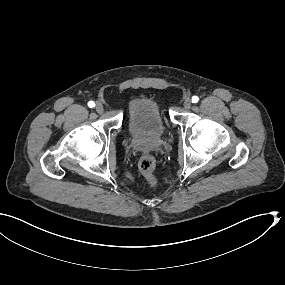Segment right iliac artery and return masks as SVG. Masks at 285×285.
<instances>
[{
    "label": "right iliac artery",
    "instance_id": "1",
    "mask_svg": "<svg viewBox=\"0 0 285 285\" xmlns=\"http://www.w3.org/2000/svg\"><path fill=\"white\" fill-rule=\"evenodd\" d=\"M88 106H89L90 108H93V107H95V103H94L93 101H89V102H88Z\"/></svg>",
    "mask_w": 285,
    "mask_h": 285
}]
</instances>
